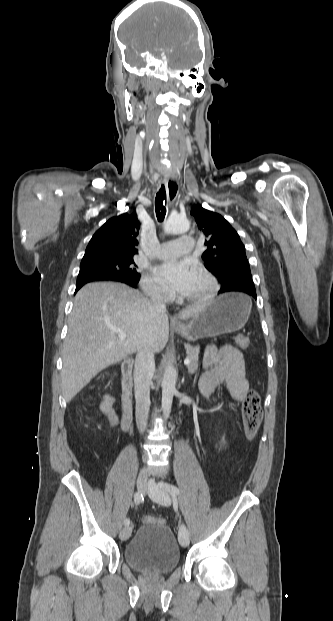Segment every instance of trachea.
Here are the masks:
<instances>
[{
  "label": "trachea",
  "mask_w": 333,
  "mask_h": 621,
  "mask_svg": "<svg viewBox=\"0 0 333 621\" xmlns=\"http://www.w3.org/2000/svg\"><path fill=\"white\" fill-rule=\"evenodd\" d=\"M164 200L166 204L165 187L164 185H162L159 192H157L156 198H155V211H156V216L159 222H162L166 215V207L164 206Z\"/></svg>",
  "instance_id": "trachea-1"
}]
</instances>
